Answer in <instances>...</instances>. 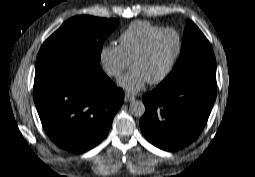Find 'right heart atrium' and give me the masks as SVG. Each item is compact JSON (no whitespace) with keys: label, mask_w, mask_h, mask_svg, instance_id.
I'll list each match as a JSON object with an SVG mask.
<instances>
[{"label":"right heart atrium","mask_w":255,"mask_h":177,"mask_svg":"<svg viewBox=\"0 0 255 177\" xmlns=\"http://www.w3.org/2000/svg\"><path fill=\"white\" fill-rule=\"evenodd\" d=\"M99 59L107 75L118 78L127 68L128 61L124 57L120 45L115 43L104 44L99 51Z\"/></svg>","instance_id":"obj_1"}]
</instances>
